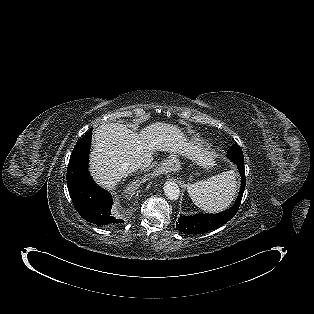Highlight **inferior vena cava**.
Here are the masks:
<instances>
[{"label": "inferior vena cava", "instance_id": "inferior-vena-cava-1", "mask_svg": "<svg viewBox=\"0 0 314 314\" xmlns=\"http://www.w3.org/2000/svg\"><path fill=\"white\" fill-rule=\"evenodd\" d=\"M142 167H143V163L140 160H138V161L130 163L127 168L130 172H134Z\"/></svg>", "mask_w": 314, "mask_h": 314}]
</instances>
